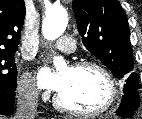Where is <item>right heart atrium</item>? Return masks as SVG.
Returning <instances> with one entry per match:
<instances>
[{
    "instance_id": "d8ad5b80",
    "label": "right heart atrium",
    "mask_w": 142,
    "mask_h": 119,
    "mask_svg": "<svg viewBox=\"0 0 142 119\" xmlns=\"http://www.w3.org/2000/svg\"><path fill=\"white\" fill-rule=\"evenodd\" d=\"M17 90L23 99L35 101L38 98L37 87L29 73H25L21 76L18 81Z\"/></svg>"
}]
</instances>
